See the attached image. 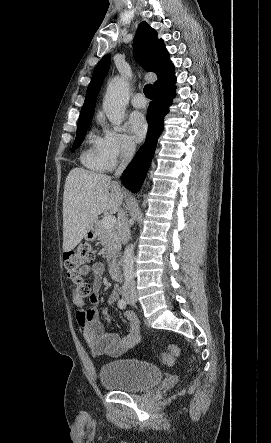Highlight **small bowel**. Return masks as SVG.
<instances>
[{"instance_id": "obj_1", "label": "small bowel", "mask_w": 271, "mask_h": 443, "mask_svg": "<svg viewBox=\"0 0 271 443\" xmlns=\"http://www.w3.org/2000/svg\"><path fill=\"white\" fill-rule=\"evenodd\" d=\"M82 276L92 275V294L90 301L93 305L97 303V292L100 290L104 280V267L101 263L83 266L80 270ZM73 291V302L79 307L76 318L83 329V337L91 353L95 356L110 355L120 356L135 346L140 340V328L136 316L131 312L124 314L128 323V333L121 337L115 333H106L99 320L98 311L93 307L83 309L84 298L80 297L75 289ZM119 296V289L113 288L108 302L113 303Z\"/></svg>"}]
</instances>
